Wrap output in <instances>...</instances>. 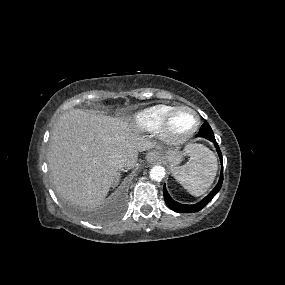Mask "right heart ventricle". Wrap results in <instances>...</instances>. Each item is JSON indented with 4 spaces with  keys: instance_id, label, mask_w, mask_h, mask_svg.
Wrapping results in <instances>:
<instances>
[{
    "instance_id": "right-heart-ventricle-1",
    "label": "right heart ventricle",
    "mask_w": 285,
    "mask_h": 285,
    "mask_svg": "<svg viewBox=\"0 0 285 285\" xmlns=\"http://www.w3.org/2000/svg\"><path fill=\"white\" fill-rule=\"evenodd\" d=\"M174 107L167 104H157L134 113L130 117L132 127L142 132L160 131L162 123Z\"/></svg>"
}]
</instances>
